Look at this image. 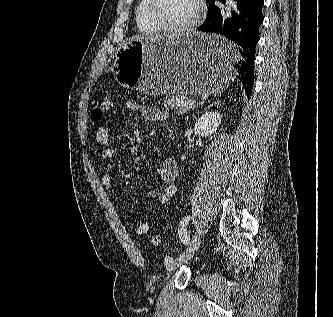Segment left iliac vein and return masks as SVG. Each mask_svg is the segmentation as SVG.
<instances>
[{
	"label": "left iliac vein",
	"mask_w": 333,
	"mask_h": 317,
	"mask_svg": "<svg viewBox=\"0 0 333 317\" xmlns=\"http://www.w3.org/2000/svg\"><path fill=\"white\" fill-rule=\"evenodd\" d=\"M200 243H201V238L198 235H195L187 251L183 252L179 257L166 264V269L168 271L175 270L180 265L191 259L199 249Z\"/></svg>",
	"instance_id": "left-iliac-vein-1"
}]
</instances>
